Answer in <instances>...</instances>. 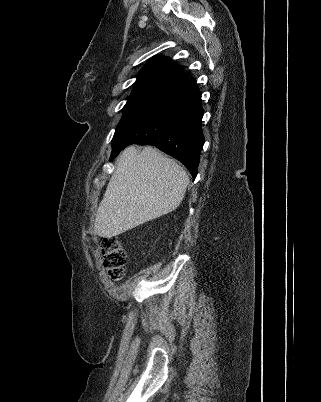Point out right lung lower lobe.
I'll use <instances>...</instances> for the list:
<instances>
[{
	"label": "right lung lower lobe",
	"instance_id": "98d812e1",
	"mask_svg": "<svg viewBox=\"0 0 321 402\" xmlns=\"http://www.w3.org/2000/svg\"><path fill=\"white\" fill-rule=\"evenodd\" d=\"M202 117L201 94L188 78L112 140L111 159L130 144L153 145L178 159L195 179L204 144Z\"/></svg>",
	"mask_w": 321,
	"mask_h": 402
}]
</instances>
